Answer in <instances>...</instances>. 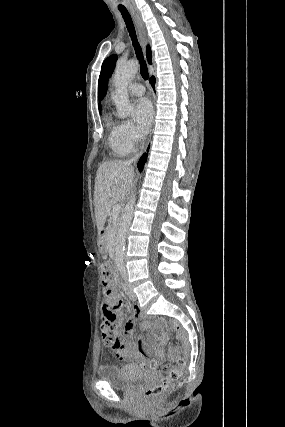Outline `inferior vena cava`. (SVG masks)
Masks as SVG:
<instances>
[{
	"label": "inferior vena cava",
	"mask_w": 285,
	"mask_h": 427,
	"mask_svg": "<svg viewBox=\"0 0 285 427\" xmlns=\"http://www.w3.org/2000/svg\"><path fill=\"white\" fill-rule=\"evenodd\" d=\"M139 156H140V155H136L134 158L130 159V160L128 161V163H129V164H131V163H133V162H136V161H137V159L139 158Z\"/></svg>",
	"instance_id": "inferior-vena-cava-1"
}]
</instances>
